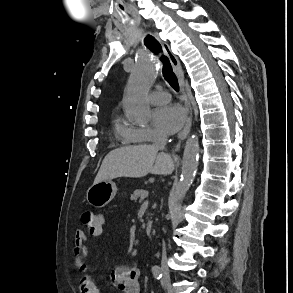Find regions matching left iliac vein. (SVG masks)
Segmentation results:
<instances>
[{
    "label": "left iliac vein",
    "instance_id": "obj_1",
    "mask_svg": "<svg viewBox=\"0 0 293 293\" xmlns=\"http://www.w3.org/2000/svg\"><path fill=\"white\" fill-rule=\"evenodd\" d=\"M162 284L165 285L164 280H162Z\"/></svg>",
    "mask_w": 293,
    "mask_h": 293
}]
</instances>
